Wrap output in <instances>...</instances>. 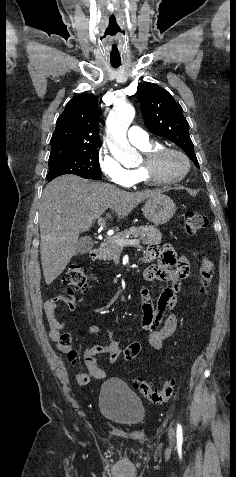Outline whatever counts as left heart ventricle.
Instances as JSON below:
<instances>
[{
  "mask_svg": "<svg viewBox=\"0 0 236 477\" xmlns=\"http://www.w3.org/2000/svg\"><path fill=\"white\" fill-rule=\"evenodd\" d=\"M185 169L184 161L176 155H169L163 159L160 166V175L165 178L178 176Z\"/></svg>",
  "mask_w": 236,
  "mask_h": 477,
  "instance_id": "b2bd125f",
  "label": "left heart ventricle"
}]
</instances>
